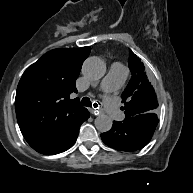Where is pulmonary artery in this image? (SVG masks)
Instances as JSON below:
<instances>
[{"label": "pulmonary artery", "instance_id": "obj_1", "mask_svg": "<svg viewBox=\"0 0 193 193\" xmlns=\"http://www.w3.org/2000/svg\"><path fill=\"white\" fill-rule=\"evenodd\" d=\"M125 74L126 68L122 64L114 63L100 84V89L106 93L103 104L107 107L109 116L115 121H120L123 113L118 108L116 101L110 98L109 95L119 90Z\"/></svg>", "mask_w": 193, "mask_h": 193}]
</instances>
